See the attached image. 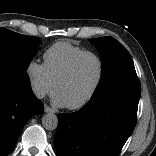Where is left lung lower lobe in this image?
<instances>
[{
    "label": "left lung lower lobe",
    "mask_w": 156,
    "mask_h": 156,
    "mask_svg": "<svg viewBox=\"0 0 156 156\" xmlns=\"http://www.w3.org/2000/svg\"><path fill=\"white\" fill-rule=\"evenodd\" d=\"M140 95L115 91L58 116V156H118L136 124Z\"/></svg>",
    "instance_id": "left-lung-lower-lobe-1"
}]
</instances>
